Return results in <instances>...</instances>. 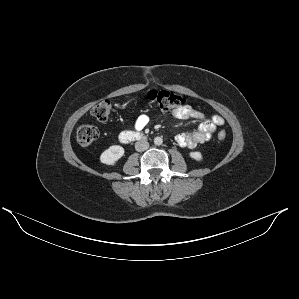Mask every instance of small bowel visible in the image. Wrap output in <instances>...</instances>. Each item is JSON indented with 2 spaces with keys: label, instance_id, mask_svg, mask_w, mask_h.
<instances>
[{
  "label": "small bowel",
  "instance_id": "c3829d8e",
  "mask_svg": "<svg viewBox=\"0 0 299 299\" xmlns=\"http://www.w3.org/2000/svg\"><path fill=\"white\" fill-rule=\"evenodd\" d=\"M172 115L178 119L200 120L197 130L180 133L176 136V142L182 147H196L207 143L215 133L218 126L224 124V119L219 115H214L207 119L205 114L191 107L183 105L172 110ZM149 118L145 114L139 115L133 124V132H141L148 124Z\"/></svg>",
  "mask_w": 299,
  "mask_h": 299
}]
</instances>
